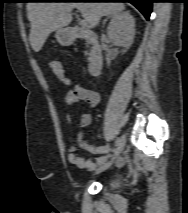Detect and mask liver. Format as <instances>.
Masks as SVG:
<instances>
[{
	"instance_id": "obj_1",
	"label": "liver",
	"mask_w": 188,
	"mask_h": 213,
	"mask_svg": "<svg viewBox=\"0 0 188 213\" xmlns=\"http://www.w3.org/2000/svg\"><path fill=\"white\" fill-rule=\"evenodd\" d=\"M26 8L31 24L30 44L39 52L50 33L69 25L74 8L94 28L102 16L121 13L125 5L122 2H28Z\"/></svg>"
}]
</instances>
